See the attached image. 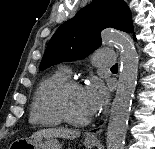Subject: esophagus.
<instances>
[{"label": "esophagus", "mask_w": 155, "mask_h": 149, "mask_svg": "<svg viewBox=\"0 0 155 149\" xmlns=\"http://www.w3.org/2000/svg\"><path fill=\"white\" fill-rule=\"evenodd\" d=\"M87 140L92 141V142H97L98 141V138H97V136L95 134H90L87 137Z\"/></svg>", "instance_id": "obj_1"}]
</instances>
